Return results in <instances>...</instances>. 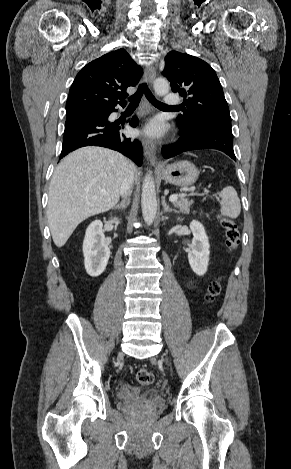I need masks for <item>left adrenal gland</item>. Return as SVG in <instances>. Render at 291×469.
Instances as JSON below:
<instances>
[{
    "instance_id": "1",
    "label": "left adrenal gland",
    "mask_w": 291,
    "mask_h": 469,
    "mask_svg": "<svg viewBox=\"0 0 291 469\" xmlns=\"http://www.w3.org/2000/svg\"><path fill=\"white\" fill-rule=\"evenodd\" d=\"M162 206H163V209H164V212H176V213H179L178 210L174 209V208H170L167 204H166V201H165V196L162 197Z\"/></svg>"
}]
</instances>
